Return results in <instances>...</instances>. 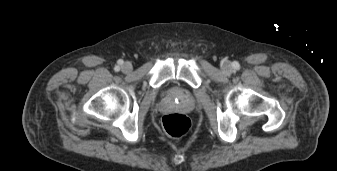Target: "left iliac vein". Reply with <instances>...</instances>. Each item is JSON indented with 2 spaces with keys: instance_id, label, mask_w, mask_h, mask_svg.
<instances>
[{
  "instance_id": "1",
  "label": "left iliac vein",
  "mask_w": 337,
  "mask_h": 171,
  "mask_svg": "<svg viewBox=\"0 0 337 171\" xmlns=\"http://www.w3.org/2000/svg\"><path fill=\"white\" fill-rule=\"evenodd\" d=\"M222 70L225 72V73H230L232 71V67L231 65L228 63V62H225L223 65H222Z\"/></svg>"
}]
</instances>
